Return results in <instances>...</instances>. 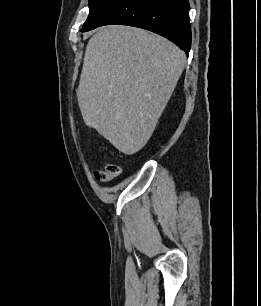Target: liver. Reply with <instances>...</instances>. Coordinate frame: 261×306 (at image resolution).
Returning <instances> with one entry per match:
<instances>
[{
	"label": "liver",
	"instance_id": "liver-1",
	"mask_svg": "<svg viewBox=\"0 0 261 306\" xmlns=\"http://www.w3.org/2000/svg\"><path fill=\"white\" fill-rule=\"evenodd\" d=\"M186 63L171 41L143 29L111 25L89 40L78 104L85 124L132 155L150 139Z\"/></svg>",
	"mask_w": 261,
	"mask_h": 306
}]
</instances>
